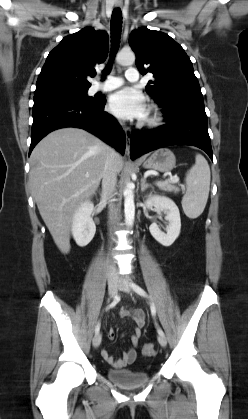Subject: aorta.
Returning <instances> with one entry per match:
<instances>
[{"instance_id": "762f6f07", "label": "aorta", "mask_w": 248, "mask_h": 419, "mask_svg": "<svg viewBox=\"0 0 248 419\" xmlns=\"http://www.w3.org/2000/svg\"><path fill=\"white\" fill-rule=\"evenodd\" d=\"M117 62L120 65H132L135 62V54L132 51H121L116 57ZM133 184L131 182L127 183L124 190V212H125V222L128 226H132L135 216V203H134V191Z\"/></svg>"}]
</instances>
